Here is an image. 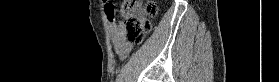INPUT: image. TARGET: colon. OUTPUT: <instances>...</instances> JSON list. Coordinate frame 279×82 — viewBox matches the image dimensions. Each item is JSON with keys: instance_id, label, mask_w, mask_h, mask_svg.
Returning <instances> with one entry per match:
<instances>
[{"instance_id": "colon-1", "label": "colon", "mask_w": 279, "mask_h": 82, "mask_svg": "<svg viewBox=\"0 0 279 82\" xmlns=\"http://www.w3.org/2000/svg\"><path fill=\"white\" fill-rule=\"evenodd\" d=\"M154 1L123 0L119 9L122 19L121 27L125 34L126 43L132 47L139 45L151 29V18L157 15ZM130 49L124 52L129 53Z\"/></svg>"}]
</instances>
